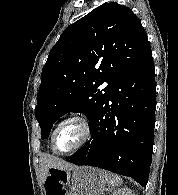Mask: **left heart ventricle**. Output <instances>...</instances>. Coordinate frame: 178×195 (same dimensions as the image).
<instances>
[{"label": "left heart ventricle", "mask_w": 178, "mask_h": 195, "mask_svg": "<svg viewBox=\"0 0 178 195\" xmlns=\"http://www.w3.org/2000/svg\"><path fill=\"white\" fill-rule=\"evenodd\" d=\"M83 130L77 123L64 125L57 133L55 147L57 150H67L74 147L81 140Z\"/></svg>", "instance_id": "left-heart-ventricle-1"}]
</instances>
